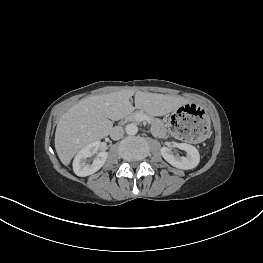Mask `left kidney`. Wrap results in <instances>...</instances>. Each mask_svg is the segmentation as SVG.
Returning <instances> with one entry per match:
<instances>
[{"instance_id":"5707ae66","label":"left kidney","mask_w":263,"mask_h":263,"mask_svg":"<svg viewBox=\"0 0 263 263\" xmlns=\"http://www.w3.org/2000/svg\"><path fill=\"white\" fill-rule=\"evenodd\" d=\"M172 145L185 151L186 156L174 155L171 149ZM172 145L171 143H169L167 146L162 147L160 150L162 157L169 164L183 170L193 169L199 164L200 155L198 150L194 146L186 143L177 142H173Z\"/></svg>"}]
</instances>
